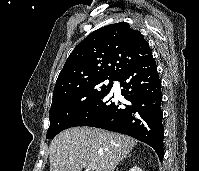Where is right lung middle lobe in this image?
I'll return each instance as SVG.
<instances>
[{"instance_id":"dd1d6c3e","label":"right lung middle lobe","mask_w":199,"mask_h":171,"mask_svg":"<svg viewBox=\"0 0 199 171\" xmlns=\"http://www.w3.org/2000/svg\"><path fill=\"white\" fill-rule=\"evenodd\" d=\"M115 79L116 77H101L87 81L53 101L49 111L50 126L46 139H53L64 130L71 120L109 90Z\"/></svg>"}]
</instances>
